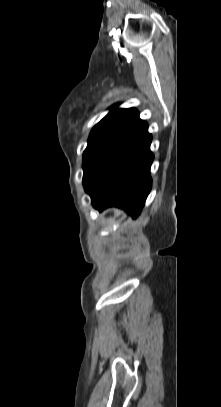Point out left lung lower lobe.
Returning <instances> with one entry per match:
<instances>
[{
	"label": "left lung lower lobe",
	"mask_w": 221,
	"mask_h": 407,
	"mask_svg": "<svg viewBox=\"0 0 221 407\" xmlns=\"http://www.w3.org/2000/svg\"><path fill=\"white\" fill-rule=\"evenodd\" d=\"M151 140L147 123L137 113L83 182L96 209L117 206L132 217L140 214L152 186Z\"/></svg>",
	"instance_id": "0a47b994"
}]
</instances>
